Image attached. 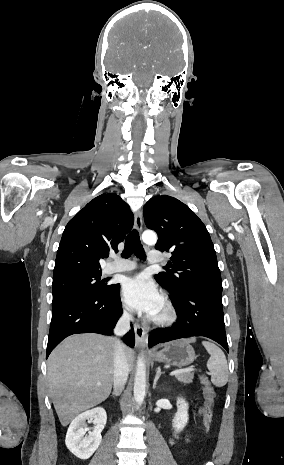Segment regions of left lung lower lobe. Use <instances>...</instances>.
Instances as JSON below:
<instances>
[{
  "label": "left lung lower lobe",
  "instance_id": "1",
  "mask_svg": "<svg viewBox=\"0 0 284 465\" xmlns=\"http://www.w3.org/2000/svg\"><path fill=\"white\" fill-rule=\"evenodd\" d=\"M170 299L176 306L178 320L168 329L151 331L149 347L179 338L205 336L228 352L221 293L190 288L178 296L171 295Z\"/></svg>",
  "mask_w": 284,
  "mask_h": 465
}]
</instances>
